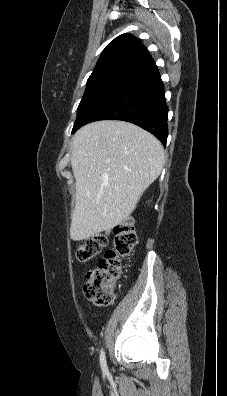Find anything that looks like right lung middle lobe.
Returning <instances> with one entry per match:
<instances>
[{
  "mask_svg": "<svg viewBox=\"0 0 227 396\" xmlns=\"http://www.w3.org/2000/svg\"><path fill=\"white\" fill-rule=\"evenodd\" d=\"M133 71L128 69H109L92 73L77 110V119L72 132L81 124L85 116L118 87Z\"/></svg>",
  "mask_w": 227,
  "mask_h": 396,
  "instance_id": "right-lung-middle-lobe-1",
  "label": "right lung middle lobe"
}]
</instances>
